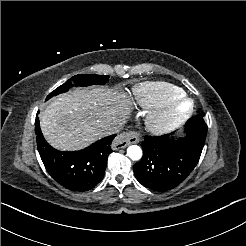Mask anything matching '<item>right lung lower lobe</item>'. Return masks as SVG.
Returning a JSON list of instances; mask_svg holds the SVG:
<instances>
[{
  "mask_svg": "<svg viewBox=\"0 0 246 246\" xmlns=\"http://www.w3.org/2000/svg\"><path fill=\"white\" fill-rule=\"evenodd\" d=\"M35 133L38 151L48 173L65 188L84 192L103 179L107 158L112 152L111 142L116 135L103 138L81 151L61 152L46 142L38 118Z\"/></svg>",
  "mask_w": 246,
  "mask_h": 246,
  "instance_id": "98d812e1",
  "label": "right lung lower lobe"
}]
</instances>
